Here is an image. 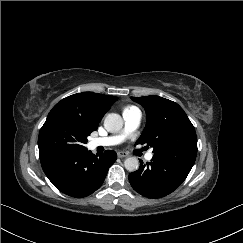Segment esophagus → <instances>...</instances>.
Here are the masks:
<instances>
[{
  "label": "esophagus",
  "instance_id": "34e87169",
  "mask_svg": "<svg viewBox=\"0 0 243 243\" xmlns=\"http://www.w3.org/2000/svg\"><path fill=\"white\" fill-rule=\"evenodd\" d=\"M117 155H118L119 158H125V157H128V154H127L126 152H124V151H119V152L117 153Z\"/></svg>",
  "mask_w": 243,
  "mask_h": 243
}]
</instances>
